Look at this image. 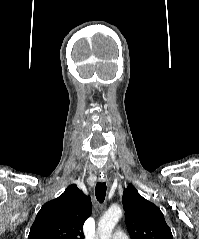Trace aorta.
Here are the masks:
<instances>
[{"instance_id": "obj_1", "label": "aorta", "mask_w": 199, "mask_h": 239, "mask_svg": "<svg viewBox=\"0 0 199 239\" xmlns=\"http://www.w3.org/2000/svg\"><path fill=\"white\" fill-rule=\"evenodd\" d=\"M122 217V210L119 206H111L98 223V234L100 239H111L112 231L119 219Z\"/></svg>"}]
</instances>
